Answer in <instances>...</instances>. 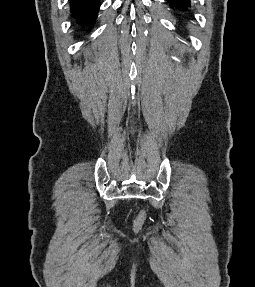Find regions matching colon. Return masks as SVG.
Here are the masks:
<instances>
[{"label": "colon", "mask_w": 255, "mask_h": 287, "mask_svg": "<svg viewBox=\"0 0 255 287\" xmlns=\"http://www.w3.org/2000/svg\"><path fill=\"white\" fill-rule=\"evenodd\" d=\"M147 214L145 210H141L133 221V230L138 233L142 230L146 222Z\"/></svg>", "instance_id": "5ec220e1"}]
</instances>
